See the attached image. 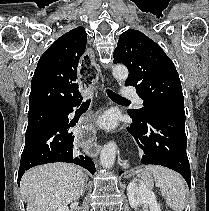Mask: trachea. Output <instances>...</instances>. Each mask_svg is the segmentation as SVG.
I'll list each match as a JSON object with an SVG mask.
<instances>
[{
  "label": "trachea",
  "mask_w": 209,
  "mask_h": 211,
  "mask_svg": "<svg viewBox=\"0 0 209 211\" xmlns=\"http://www.w3.org/2000/svg\"><path fill=\"white\" fill-rule=\"evenodd\" d=\"M107 93H108V96H109L112 100H114V101H127V102H130L129 100H127V99L121 97L120 95L114 93V92L111 91V90H108Z\"/></svg>",
  "instance_id": "trachea-1"
}]
</instances>
